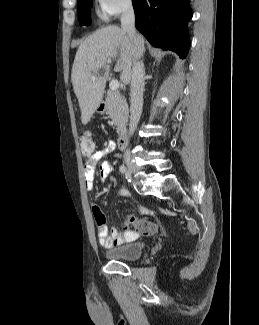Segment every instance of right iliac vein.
Here are the masks:
<instances>
[{
	"instance_id": "right-iliac-vein-1",
	"label": "right iliac vein",
	"mask_w": 259,
	"mask_h": 325,
	"mask_svg": "<svg viewBox=\"0 0 259 325\" xmlns=\"http://www.w3.org/2000/svg\"><path fill=\"white\" fill-rule=\"evenodd\" d=\"M125 163L132 173L138 174L140 172L139 166L136 164V162L130 155L125 156Z\"/></svg>"
}]
</instances>
